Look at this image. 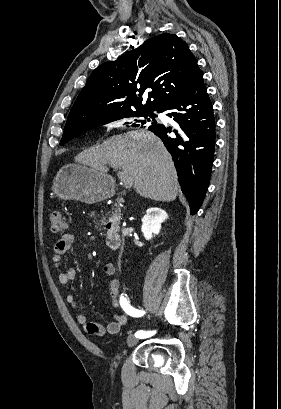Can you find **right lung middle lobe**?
Here are the masks:
<instances>
[{
    "label": "right lung middle lobe",
    "mask_w": 281,
    "mask_h": 409,
    "mask_svg": "<svg viewBox=\"0 0 281 409\" xmlns=\"http://www.w3.org/2000/svg\"><path fill=\"white\" fill-rule=\"evenodd\" d=\"M148 116H150L153 120L156 117V115L151 112V111H130V112H123L114 116H110L108 118H105L103 120H100L98 122H95L93 124L84 126V127H69V128H65L64 129V133L60 142V145L65 144L66 142H68L69 140H71L73 137H75L76 135L88 131L90 129L102 126L104 124L113 122L115 120H119L122 118H128V117H145L147 118Z\"/></svg>",
    "instance_id": "1"
}]
</instances>
